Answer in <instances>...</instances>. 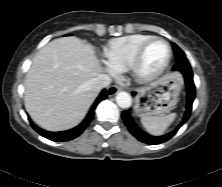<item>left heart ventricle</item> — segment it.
I'll list each match as a JSON object with an SVG mask.
<instances>
[{
    "mask_svg": "<svg viewBox=\"0 0 222 187\" xmlns=\"http://www.w3.org/2000/svg\"><path fill=\"white\" fill-rule=\"evenodd\" d=\"M168 55V48L162 42L153 43L146 51L143 70L147 73L154 72L165 62Z\"/></svg>",
    "mask_w": 222,
    "mask_h": 187,
    "instance_id": "1",
    "label": "left heart ventricle"
}]
</instances>
